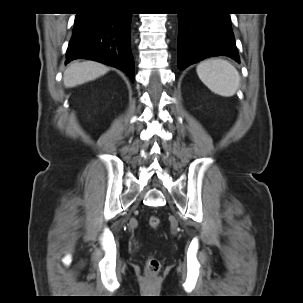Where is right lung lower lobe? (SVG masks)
I'll return each instance as SVG.
<instances>
[{
    "instance_id": "right-lung-lower-lobe-1",
    "label": "right lung lower lobe",
    "mask_w": 303,
    "mask_h": 303,
    "mask_svg": "<svg viewBox=\"0 0 303 303\" xmlns=\"http://www.w3.org/2000/svg\"><path fill=\"white\" fill-rule=\"evenodd\" d=\"M131 18L130 13L111 9H91L77 14L66 63L77 58L98 61L122 70L133 81Z\"/></svg>"
}]
</instances>
